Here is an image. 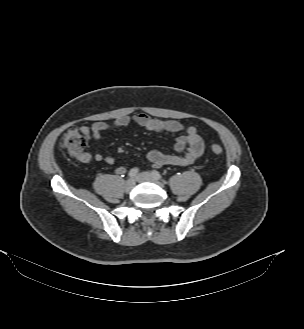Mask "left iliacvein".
<instances>
[{"label": "left iliac vein", "instance_id": "obj_1", "mask_svg": "<svg viewBox=\"0 0 304 329\" xmlns=\"http://www.w3.org/2000/svg\"><path fill=\"white\" fill-rule=\"evenodd\" d=\"M136 179L139 182L147 181V182L155 183L159 186H163V184L157 178H155L152 173H149V172H142V173L138 174Z\"/></svg>", "mask_w": 304, "mask_h": 329}]
</instances>
